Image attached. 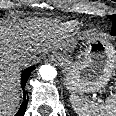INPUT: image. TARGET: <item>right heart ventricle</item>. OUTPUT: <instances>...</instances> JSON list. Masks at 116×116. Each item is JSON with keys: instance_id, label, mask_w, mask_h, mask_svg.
<instances>
[{"instance_id": "right-heart-ventricle-1", "label": "right heart ventricle", "mask_w": 116, "mask_h": 116, "mask_svg": "<svg viewBox=\"0 0 116 116\" xmlns=\"http://www.w3.org/2000/svg\"><path fill=\"white\" fill-rule=\"evenodd\" d=\"M76 26V21L60 22L53 27L50 37L56 38L69 34L76 28Z\"/></svg>"}]
</instances>
